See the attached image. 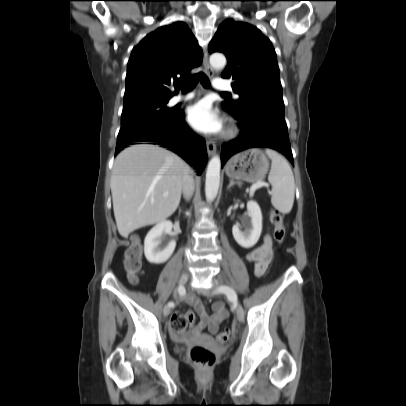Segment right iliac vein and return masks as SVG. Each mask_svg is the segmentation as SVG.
Here are the masks:
<instances>
[{"label":"right iliac vein","instance_id":"right-iliac-vein-1","mask_svg":"<svg viewBox=\"0 0 406 406\" xmlns=\"http://www.w3.org/2000/svg\"><path fill=\"white\" fill-rule=\"evenodd\" d=\"M187 281H188V274H187V273H183V274L181 275V277H180V280H179L180 286H184V285L187 283ZM169 313H170V306L166 305V306L164 307V309H163V314H164V316H168Z\"/></svg>","mask_w":406,"mask_h":406}]
</instances>
